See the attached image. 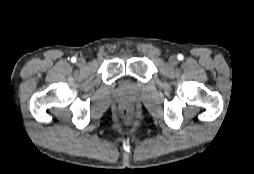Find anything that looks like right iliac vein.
Here are the masks:
<instances>
[{"instance_id": "63e3f726", "label": "right iliac vein", "mask_w": 254, "mask_h": 174, "mask_svg": "<svg viewBox=\"0 0 254 174\" xmlns=\"http://www.w3.org/2000/svg\"><path fill=\"white\" fill-rule=\"evenodd\" d=\"M77 65L83 67L86 65V60L84 58H78Z\"/></svg>"}]
</instances>
